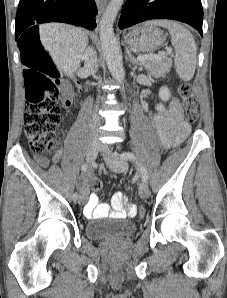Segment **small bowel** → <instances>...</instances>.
Here are the masks:
<instances>
[{
  "mask_svg": "<svg viewBox=\"0 0 227 298\" xmlns=\"http://www.w3.org/2000/svg\"><path fill=\"white\" fill-rule=\"evenodd\" d=\"M152 123L160 144L167 149L180 145L190 133V126L183 118V109L176 99L170 101L165 111L155 114ZM35 159L40 165L48 166L45 157L36 155ZM59 159L60 154H56L54 161L57 162ZM80 190L81 195H86L83 212L89 219L104 218L112 214L118 218H125L136 213V205L127 206L126 198L121 193H116L112 199L113 211L108 204L100 202L96 194L89 195L87 177L81 179Z\"/></svg>",
  "mask_w": 227,
  "mask_h": 298,
  "instance_id": "small-bowel-1",
  "label": "small bowel"
}]
</instances>
